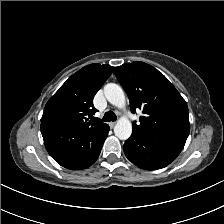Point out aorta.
<instances>
[{
  "instance_id": "aorta-1",
  "label": "aorta",
  "mask_w": 224,
  "mask_h": 224,
  "mask_svg": "<svg viewBox=\"0 0 224 224\" xmlns=\"http://www.w3.org/2000/svg\"><path fill=\"white\" fill-rule=\"evenodd\" d=\"M106 99L114 106L123 109L126 106V99L123 89L115 84L108 83L104 87ZM114 133L120 140H127L132 134V123L126 117H121L115 127Z\"/></svg>"
}]
</instances>
